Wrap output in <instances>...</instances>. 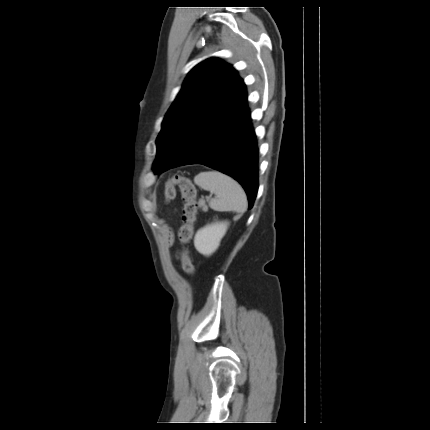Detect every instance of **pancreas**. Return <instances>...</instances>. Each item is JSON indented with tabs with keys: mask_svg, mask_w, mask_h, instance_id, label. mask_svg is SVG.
<instances>
[{
	"mask_svg": "<svg viewBox=\"0 0 430 430\" xmlns=\"http://www.w3.org/2000/svg\"><path fill=\"white\" fill-rule=\"evenodd\" d=\"M199 207H202V210H203L204 212H207V211H208V207L205 205L204 200H200V201H199Z\"/></svg>",
	"mask_w": 430,
	"mask_h": 430,
	"instance_id": "1",
	"label": "pancreas"
}]
</instances>
